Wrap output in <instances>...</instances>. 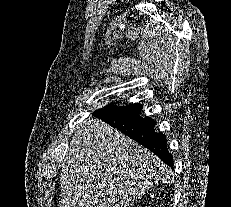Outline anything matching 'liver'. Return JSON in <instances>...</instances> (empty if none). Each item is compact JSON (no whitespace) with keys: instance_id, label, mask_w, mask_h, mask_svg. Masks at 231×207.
Segmentation results:
<instances>
[{"instance_id":"obj_1","label":"liver","mask_w":231,"mask_h":207,"mask_svg":"<svg viewBox=\"0 0 231 207\" xmlns=\"http://www.w3.org/2000/svg\"><path fill=\"white\" fill-rule=\"evenodd\" d=\"M168 178L167 166L151 151L88 118L77 128L63 162L59 207H131Z\"/></svg>"}]
</instances>
